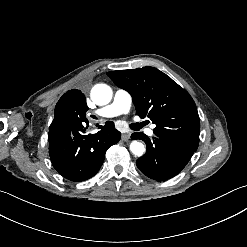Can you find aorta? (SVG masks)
Instances as JSON below:
<instances>
[{
    "label": "aorta",
    "mask_w": 247,
    "mask_h": 247,
    "mask_svg": "<svg viewBox=\"0 0 247 247\" xmlns=\"http://www.w3.org/2000/svg\"><path fill=\"white\" fill-rule=\"evenodd\" d=\"M91 99L97 105H106L112 99V89L106 84H97L91 90ZM130 150L135 156H142L145 152L143 143L134 140L130 144Z\"/></svg>",
    "instance_id": "aorta-1"
}]
</instances>
